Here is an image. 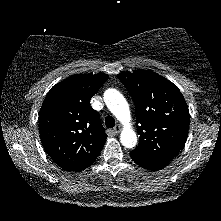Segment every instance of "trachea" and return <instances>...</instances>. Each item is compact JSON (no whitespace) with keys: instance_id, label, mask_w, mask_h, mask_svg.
I'll return each instance as SVG.
<instances>
[{"instance_id":"obj_1","label":"trachea","mask_w":221,"mask_h":221,"mask_svg":"<svg viewBox=\"0 0 221 221\" xmlns=\"http://www.w3.org/2000/svg\"><path fill=\"white\" fill-rule=\"evenodd\" d=\"M105 125L108 127V128H112L115 126V120L112 116H107L105 118Z\"/></svg>"}]
</instances>
